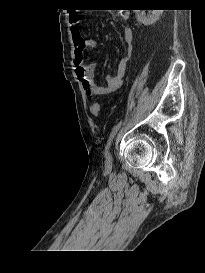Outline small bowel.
<instances>
[{
	"mask_svg": "<svg viewBox=\"0 0 205 273\" xmlns=\"http://www.w3.org/2000/svg\"><path fill=\"white\" fill-rule=\"evenodd\" d=\"M122 19H127L128 14L122 13ZM80 17L77 14H71L69 16V22L72 29V39L74 44V64L76 76L80 80L86 94L90 97L103 96L117 90L122 85V80L126 71L128 56L120 59L117 65L115 75H107L104 85L96 84L94 80L96 65L93 63L83 64L84 51L95 50L98 47V43L94 39L83 40L80 31L78 29V23ZM123 39L128 48L130 49L133 41V33L130 28L123 30Z\"/></svg>",
	"mask_w": 205,
	"mask_h": 273,
	"instance_id": "small-bowel-1",
	"label": "small bowel"
}]
</instances>
